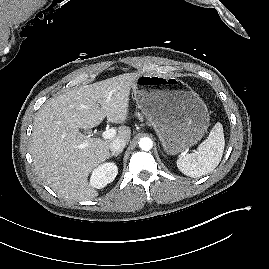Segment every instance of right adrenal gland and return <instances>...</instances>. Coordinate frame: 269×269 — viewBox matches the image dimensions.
I'll return each instance as SVG.
<instances>
[{"instance_id": "right-adrenal-gland-1", "label": "right adrenal gland", "mask_w": 269, "mask_h": 269, "mask_svg": "<svg viewBox=\"0 0 269 269\" xmlns=\"http://www.w3.org/2000/svg\"><path fill=\"white\" fill-rule=\"evenodd\" d=\"M121 152H122V151H119V152H116V153H114V152L111 153V154H110V158L113 157V156L117 157Z\"/></svg>"}]
</instances>
